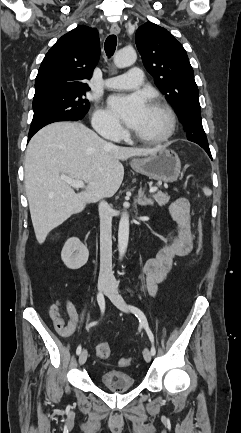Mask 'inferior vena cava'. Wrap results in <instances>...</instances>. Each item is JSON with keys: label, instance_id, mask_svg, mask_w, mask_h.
<instances>
[{"label": "inferior vena cava", "instance_id": "obj_1", "mask_svg": "<svg viewBox=\"0 0 241 433\" xmlns=\"http://www.w3.org/2000/svg\"><path fill=\"white\" fill-rule=\"evenodd\" d=\"M100 217V273L99 280L114 281L112 271V208L102 200L98 206Z\"/></svg>", "mask_w": 241, "mask_h": 433}]
</instances>
